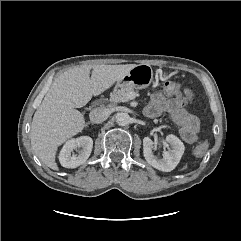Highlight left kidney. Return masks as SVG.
I'll return each instance as SVG.
<instances>
[{
	"label": "left kidney",
	"instance_id": "obj_1",
	"mask_svg": "<svg viewBox=\"0 0 241 241\" xmlns=\"http://www.w3.org/2000/svg\"><path fill=\"white\" fill-rule=\"evenodd\" d=\"M166 141L171 145L172 150L164 151L163 158L159 159L153 154L154 142L149 138L143 139V154L146 161L154 168L170 172L178 165L185 147L183 142L175 135H168Z\"/></svg>",
	"mask_w": 241,
	"mask_h": 241
}]
</instances>
